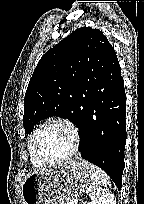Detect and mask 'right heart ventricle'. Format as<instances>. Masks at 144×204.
Wrapping results in <instances>:
<instances>
[{
    "mask_svg": "<svg viewBox=\"0 0 144 204\" xmlns=\"http://www.w3.org/2000/svg\"><path fill=\"white\" fill-rule=\"evenodd\" d=\"M39 128H37L33 134L31 135L30 139H29V142H28V151H29V156H30V160H31V163L36 166V167H41L43 166L44 164L41 163L34 155L33 153V142H34V138H35V135L37 133V130Z\"/></svg>",
    "mask_w": 144,
    "mask_h": 204,
    "instance_id": "right-heart-ventricle-1",
    "label": "right heart ventricle"
}]
</instances>
